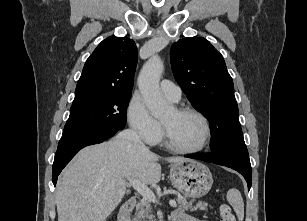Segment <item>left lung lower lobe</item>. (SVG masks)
<instances>
[{
    "mask_svg": "<svg viewBox=\"0 0 307 221\" xmlns=\"http://www.w3.org/2000/svg\"><path fill=\"white\" fill-rule=\"evenodd\" d=\"M187 157L227 166L238 171L244 176L248 183V190H250L252 183V168L249 158H243L229 152H211L207 154L189 155Z\"/></svg>",
    "mask_w": 307,
    "mask_h": 221,
    "instance_id": "left-lung-lower-lobe-1",
    "label": "left lung lower lobe"
}]
</instances>
